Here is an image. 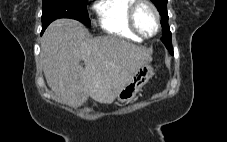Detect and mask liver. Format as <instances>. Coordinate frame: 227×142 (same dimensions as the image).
Wrapping results in <instances>:
<instances>
[{
    "instance_id": "liver-1",
    "label": "liver",
    "mask_w": 227,
    "mask_h": 142,
    "mask_svg": "<svg viewBox=\"0 0 227 142\" xmlns=\"http://www.w3.org/2000/svg\"><path fill=\"white\" fill-rule=\"evenodd\" d=\"M40 57L51 91L72 107L89 97L111 104L136 71L152 61L145 49L122 38H90L84 25L72 19H57L47 27Z\"/></svg>"
}]
</instances>
